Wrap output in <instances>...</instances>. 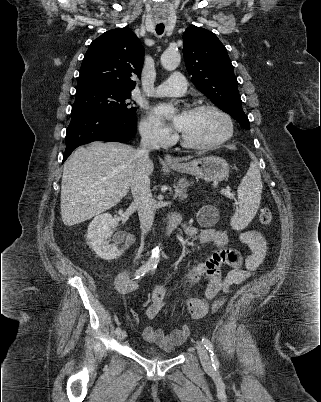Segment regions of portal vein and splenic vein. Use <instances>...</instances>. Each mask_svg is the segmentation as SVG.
<instances>
[{
	"label": "portal vein and splenic vein",
	"mask_w": 321,
	"mask_h": 402,
	"mask_svg": "<svg viewBox=\"0 0 321 402\" xmlns=\"http://www.w3.org/2000/svg\"><path fill=\"white\" fill-rule=\"evenodd\" d=\"M220 192L229 198L233 197V194L231 193L230 188L222 189Z\"/></svg>",
	"instance_id": "obj_1"
}]
</instances>
